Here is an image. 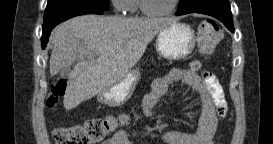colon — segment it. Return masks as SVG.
Listing matches in <instances>:
<instances>
[{
	"mask_svg": "<svg viewBox=\"0 0 273 144\" xmlns=\"http://www.w3.org/2000/svg\"><path fill=\"white\" fill-rule=\"evenodd\" d=\"M221 38L219 25L212 19L203 20L198 27V42L203 54H210ZM66 81L59 80L54 84L48 98V106H55L66 91ZM127 122V117L107 116L86 121L81 125L57 127L53 137L57 144H94L116 130L119 125Z\"/></svg>",
	"mask_w": 273,
	"mask_h": 144,
	"instance_id": "obj_1",
	"label": "colon"
}]
</instances>
